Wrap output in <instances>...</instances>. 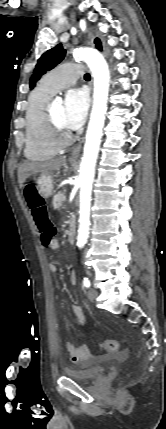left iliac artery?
<instances>
[{"label": "left iliac artery", "mask_w": 166, "mask_h": 429, "mask_svg": "<svg viewBox=\"0 0 166 429\" xmlns=\"http://www.w3.org/2000/svg\"><path fill=\"white\" fill-rule=\"evenodd\" d=\"M83 285L86 287V288H89L90 287V281H89V279L88 278H86V277H84V279H83Z\"/></svg>", "instance_id": "1"}]
</instances>
